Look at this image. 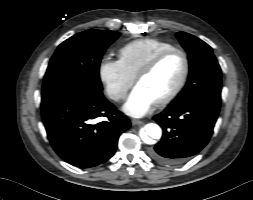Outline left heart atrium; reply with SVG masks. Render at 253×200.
<instances>
[{"label": "left heart atrium", "instance_id": "1", "mask_svg": "<svg viewBox=\"0 0 253 200\" xmlns=\"http://www.w3.org/2000/svg\"><path fill=\"white\" fill-rule=\"evenodd\" d=\"M156 104L155 100L141 86H136L126 100L123 110L132 117H142Z\"/></svg>", "mask_w": 253, "mask_h": 200}]
</instances>
